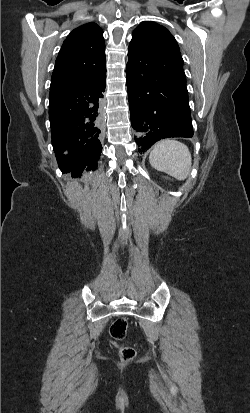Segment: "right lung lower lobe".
Listing matches in <instances>:
<instances>
[{"instance_id": "1", "label": "right lung lower lobe", "mask_w": 250, "mask_h": 413, "mask_svg": "<svg viewBox=\"0 0 250 413\" xmlns=\"http://www.w3.org/2000/svg\"><path fill=\"white\" fill-rule=\"evenodd\" d=\"M106 70L82 84L50 91L52 145L62 173L95 170L102 146L101 99Z\"/></svg>"}]
</instances>
